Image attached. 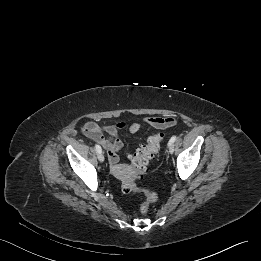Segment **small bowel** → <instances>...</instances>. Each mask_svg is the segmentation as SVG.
Instances as JSON below:
<instances>
[{
  "instance_id": "1",
  "label": "small bowel",
  "mask_w": 261,
  "mask_h": 261,
  "mask_svg": "<svg viewBox=\"0 0 261 261\" xmlns=\"http://www.w3.org/2000/svg\"><path fill=\"white\" fill-rule=\"evenodd\" d=\"M177 122L174 116L167 117H144L140 122L128 124L126 122H119L114 124H106L99 126L94 121H87L82 126V132L85 136L102 145L107 153L109 162L112 165L117 164V152L122 149L123 142L120 139V133L127 130L130 133L138 132L143 125H148L157 129H165L175 125ZM107 134L108 136H106Z\"/></svg>"
}]
</instances>
